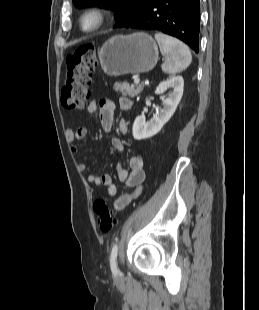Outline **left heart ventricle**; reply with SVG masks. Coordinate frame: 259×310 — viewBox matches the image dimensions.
<instances>
[{
	"label": "left heart ventricle",
	"mask_w": 259,
	"mask_h": 310,
	"mask_svg": "<svg viewBox=\"0 0 259 310\" xmlns=\"http://www.w3.org/2000/svg\"><path fill=\"white\" fill-rule=\"evenodd\" d=\"M92 24V20H89L88 22H87V25H91Z\"/></svg>",
	"instance_id": "1"
}]
</instances>
